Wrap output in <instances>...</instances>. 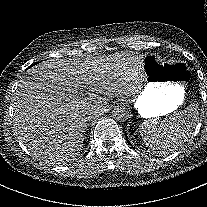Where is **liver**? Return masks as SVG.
Returning a JSON list of instances; mask_svg holds the SVG:
<instances>
[{"label":"liver","mask_w":207,"mask_h":207,"mask_svg":"<svg viewBox=\"0 0 207 207\" xmlns=\"http://www.w3.org/2000/svg\"><path fill=\"white\" fill-rule=\"evenodd\" d=\"M94 74V67L86 63L46 61L21 78L13 97V131L30 151L80 150L86 116L93 115L97 105L85 98L81 87L88 84L96 89Z\"/></svg>","instance_id":"liver-1"}]
</instances>
